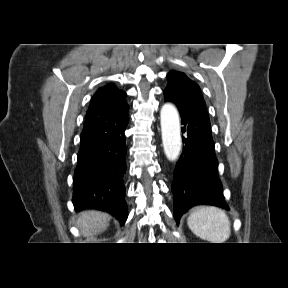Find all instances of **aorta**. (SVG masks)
<instances>
[{"label":"aorta","mask_w":288,"mask_h":288,"mask_svg":"<svg viewBox=\"0 0 288 288\" xmlns=\"http://www.w3.org/2000/svg\"><path fill=\"white\" fill-rule=\"evenodd\" d=\"M162 142L168 160L174 161L181 151L180 121L177 109L172 104H164L160 112Z\"/></svg>","instance_id":"762f6f07"}]
</instances>
